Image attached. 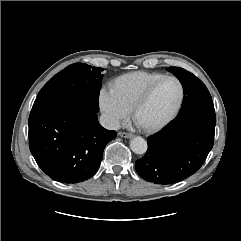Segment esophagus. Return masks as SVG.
I'll return each instance as SVG.
<instances>
[{
  "instance_id": "34e87169",
  "label": "esophagus",
  "mask_w": 241,
  "mask_h": 241,
  "mask_svg": "<svg viewBox=\"0 0 241 241\" xmlns=\"http://www.w3.org/2000/svg\"><path fill=\"white\" fill-rule=\"evenodd\" d=\"M118 135L123 137V138H131V137H133V134L127 133V132H119Z\"/></svg>"
}]
</instances>
